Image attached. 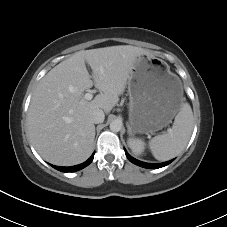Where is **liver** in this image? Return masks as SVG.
<instances>
[{
  "instance_id": "liver-1",
  "label": "liver",
  "mask_w": 227,
  "mask_h": 227,
  "mask_svg": "<svg viewBox=\"0 0 227 227\" xmlns=\"http://www.w3.org/2000/svg\"><path fill=\"white\" fill-rule=\"evenodd\" d=\"M149 54L130 45L82 50L51 69L38 83L28 110V132L40 156L55 165L72 166L93 151L92 112L105 113L119 102L136 58ZM85 63L93 71L91 80ZM93 85L100 91L92 101L83 93Z\"/></svg>"
}]
</instances>
